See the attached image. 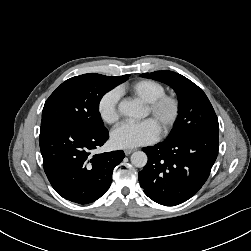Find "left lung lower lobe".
I'll return each instance as SVG.
<instances>
[{
	"label": "left lung lower lobe",
	"instance_id": "0a47b994",
	"mask_svg": "<svg viewBox=\"0 0 251 251\" xmlns=\"http://www.w3.org/2000/svg\"><path fill=\"white\" fill-rule=\"evenodd\" d=\"M218 133L198 132L177 141L143 148L148 162L139 172L144 193L153 201L175 206L195 195L217 158Z\"/></svg>",
	"mask_w": 251,
	"mask_h": 251
}]
</instances>
